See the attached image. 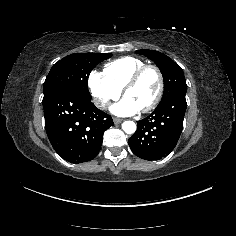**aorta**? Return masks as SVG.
<instances>
[{
    "instance_id": "aorta-1",
    "label": "aorta",
    "mask_w": 236,
    "mask_h": 236,
    "mask_svg": "<svg viewBox=\"0 0 236 236\" xmlns=\"http://www.w3.org/2000/svg\"><path fill=\"white\" fill-rule=\"evenodd\" d=\"M122 129L127 134H133L136 131V124L133 121H125L122 123Z\"/></svg>"
}]
</instances>
